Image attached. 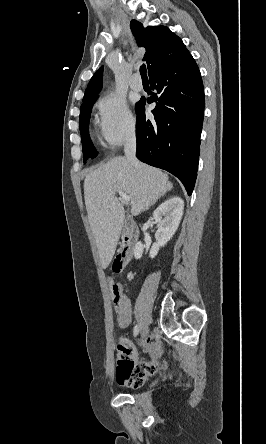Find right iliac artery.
Listing matches in <instances>:
<instances>
[{
  "mask_svg": "<svg viewBox=\"0 0 266 444\" xmlns=\"http://www.w3.org/2000/svg\"><path fill=\"white\" fill-rule=\"evenodd\" d=\"M138 333H139V326H138V325H135V327H134V329H133V335H134V337H136V336L138 335Z\"/></svg>",
  "mask_w": 266,
  "mask_h": 444,
  "instance_id": "obj_1",
  "label": "right iliac artery"
}]
</instances>
